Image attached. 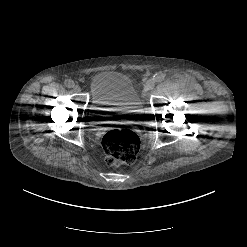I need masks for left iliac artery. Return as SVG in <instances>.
<instances>
[{
    "label": "left iliac artery",
    "mask_w": 247,
    "mask_h": 247,
    "mask_svg": "<svg viewBox=\"0 0 247 247\" xmlns=\"http://www.w3.org/2000/svg\"><path fill=\"white\" fill-rule=\"evenodd\" d=\"M165 79V74L162 73V72H159V73H156L154 76H153V81L155 82H161Z\"/></svg>",
    "instance_id": "44dca946"
}]
</instances>
